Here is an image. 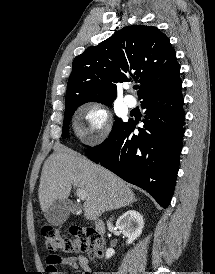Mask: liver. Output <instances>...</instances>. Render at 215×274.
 <instances>
[{"instance_id": "6515ba94", "label": "liver", "mask_w": 215, "mask_h": 274, "mask_svg": "<svg viewBox=\"0 0 215 274\" xmlns=\"http://www.w3.org/2000/svg\"><path fill=\"white\" fill-rule=\"evenodd\" d=\"M72 185L86 193L83 211L87 220L135 201L133 191L115 174L70 149L59 148L42 168L38 190L42 211L56 200L67 199Z\"/></svg>"}]
</instances>
